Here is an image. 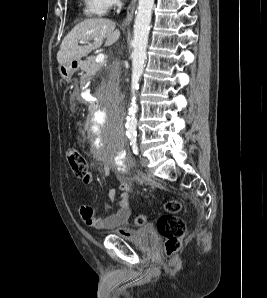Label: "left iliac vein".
I'll return each instance as SVG.
<instances>
[{
    "instance_id": "1",
    "label": "left iliac vein",
    "mask_w": 267,
    "mask_h": 298,
    "mask_svg": "<svg viewBox=\"0 0 267 298\" xmlns=\"http://www.w3.org/2000/svg\"><path fill=\"white\" fill-rule=\"evenodd\" d=\"M140 164H141V166H143V167H147V165H148V160H147L145 157H141V158H140Z\"/></svg>"
}]
</instances>
